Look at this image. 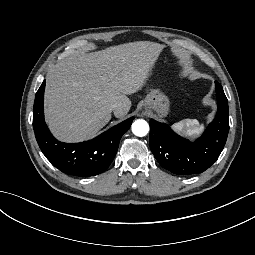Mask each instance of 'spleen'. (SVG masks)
<instances>
[{"label": "spleen", "instance_id": "spleen-1", "mask_svg": "<svg viewBox=\"0 0 255 255\" xmlns=\"http://www.w3.org/2000/svg\"><path fill=\"white\" fill-rule=\"evenodd\" d=\"M198 121L189 118L182 119L175 123L173 127L180 132H186L189 135L197 134L201 128L198 127Z\"/></svg>", "mask_w": 255, "mask_h": 255}]
</instances>
